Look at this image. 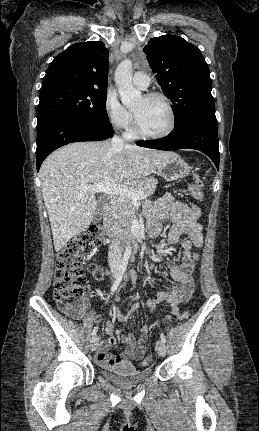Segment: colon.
Here are the masks:
<instances>
[{"label": "colon", "mask_w": 259, "mask_h": 431, "mask_svg": "<svg viewBox=\"0 0 259 431\" xmlns=\"http://www.w3.org/2000/svg\"><path fill=\"white\" fill-rule=\"evenodd\" d=\"M189 191L196 200L203 199V182L198 174H193V183ZM190 214L194 220L200 217L201 207L196 202H190ZM105 230L100 226L87 229L78 237L70 240L56 257L54 300L59 310L70 318H79L84 309V300L88 293L86 275L82 266V258L104 241ZM89 271L95 279H103L105 273L95 263L89 265ZM187 310L178 313V321L189 318ZM153 363L151 355L146 356L142 364L150 366Z\"/></svg>", "instance_id": "colon-1"}]
</instances>
